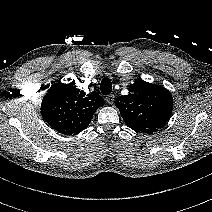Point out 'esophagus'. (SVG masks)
<instances>
[{
  "label": "esophagus",
  "mask_w": 212,
  "mask_h": 212,
  "mask_svg": "<svg viewBox=\"0 0 212 212\" xmlns=\"http://www.w3.org/2000/svg\"><path fill=\"white\" fill-rule=\"evenodd\" d=\"M105 100H106V102H107L108 104H113L114 101H115V96H114V95H109V96H107V97L105 98Z\"/></svg>",
  "instance_id": "34e87169"
}]
</instances>
